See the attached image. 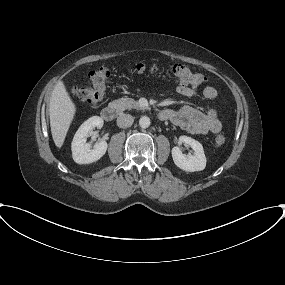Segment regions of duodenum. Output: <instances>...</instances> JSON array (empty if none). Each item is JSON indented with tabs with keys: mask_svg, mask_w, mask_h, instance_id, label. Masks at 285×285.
I'll use <instances>...</instances> for the list:
<instances>
[{
	"mask_svg": "<svg viewBox=\"0 0 285 285\" xmlns=\"http://www.w3.org/2000/svg\"><path fill=\"white\" fill-rule=\"evenodd\" d=\"M119 113L120 109L115 103L108 104L101 111L102 118L106 121L114 120L119 115ZM159 117L162 120L165 118V112L163 110L159 113Z\"/></svg>",
	"mask_w": 285,
	"mask_h": 285,
	"instance_id": "1",
	"label": "duodenum"
}]
</instances>
